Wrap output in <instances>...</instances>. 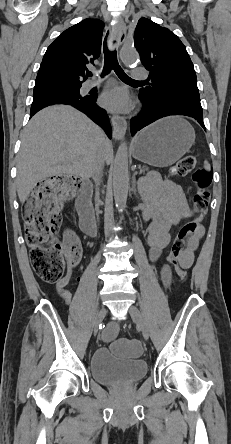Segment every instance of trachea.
I'll list each match as a JSON object with an SVG mask.
<instances>
[{"mask_svg": "<svg viewBox=\"0 0 231 444\" xmlns=\"http://www.w3.org/2000/svg\"><path fill=\"white\" fill-rule=\"evenodd\" d=\"M108 36V35H107ZM103 52H104V68H103V72H102V76L103 75H107L110 73V71L113 69L115 71V73L117 74V76L123 80V81H135L137 82V80H134L132 78H130L124 71L123 69L120 67L118 61H117V53L115 50H110L107 46V42L106 39L104 41V46H103ZM88 76H91L92 73L91 72H87Z\"/></svg>", "mask_w": 231, "mask_h": 444, "instance_id": "3493384b", "label": "trachea"}]
</instances>
